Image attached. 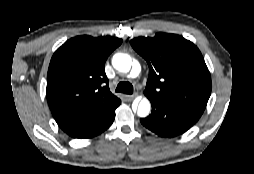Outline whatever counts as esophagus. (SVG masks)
I'll list each match as a JSON object with an SVG mask.
<instances>
[{"label":"esophagus","mask_w":254,"mask_h":174,"mask_svg":"<svg viewBox=\"0 0 254 174\" xmlns=\"http://www.w3.org/2000/svg\"><path fill=\"white\" fill-rule=\"evenodd\" d=\"M134 97H135L134 95H125V98H126L127 101L133 100Z\"/></svg>","instance_id":"34e87169"}]
</instances>
